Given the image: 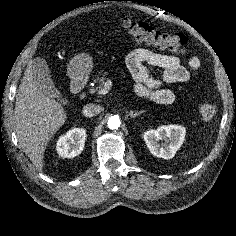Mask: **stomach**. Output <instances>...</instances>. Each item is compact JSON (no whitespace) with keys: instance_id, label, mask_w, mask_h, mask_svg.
<instances>
[{"instance_id":"0dacf381","label":"stomach","mask_w":236,"mask_h":236,"mask_svg":"<svg viewBox=\"0 0 236 236\" xmlns=\"http://www.w3.org/2000/svg\"><path fill=\"white\" fill-rule=\"evenodd\" d=\"M92 58L87 54L76 55L68 65V75L72 79H83L92 71Z\"/></svg>"}]
</instances>
